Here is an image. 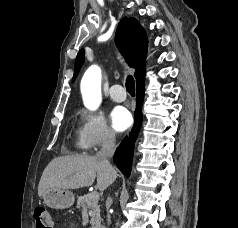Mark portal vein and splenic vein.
Returning <instances> with one entry per match:
<instances>
[{
    "instance_id": "1",
    "label": "portal vein and splenic vein",
    "mask_w": 238,
    "mask_h": 228,
    "mask_svg": "<svg viewBox=\"0 0 238 228\" xmlns=\"http://www.w3.org/2000/svg\"><path fill=\"white\" fill-rule=\"evenodd\" d=\"M89 197L92 199V200H98L99 199V193L96 192V191H93L89 194Z\"/></svg>"
}]
</instances>
